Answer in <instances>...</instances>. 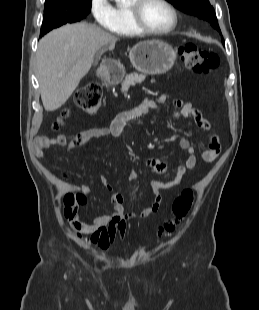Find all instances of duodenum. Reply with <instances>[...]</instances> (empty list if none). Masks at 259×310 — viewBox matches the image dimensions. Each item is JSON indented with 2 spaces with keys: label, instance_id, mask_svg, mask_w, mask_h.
I'll use <instances>...</instances> for the list:
<instances>
[{
  "label": "duodenum",
  "instance_id": "duodenum-1",
  "mask_svg": "<svg viewBox=\"0 0 259 310\" xmlns=\"http://www.w3.org/2000/svg\"><path fill=\"white\" fill-rule=\"evenodd\" d=\"M99 75L102 80L107 82H116L121 77L119 68L114 64H107L100 69Z\"/></svg>",
  "mask_w": 259,
  "mask_h": 310
}]
</instances>
